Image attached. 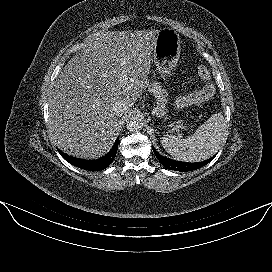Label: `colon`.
<instances>
[{
    "label": "colon",
    "instance_id": "obj_1",
    "mask_svg": "<svg viewBox=\"0 0 272 272\" xmlns=\"http://www.w3.org/2000/svg\"><path fill=\"white\" fill-rule=\"evenodd\" d=\"M198 72L205 82L204 87L199 91L178 97L172 104V109L176 114H181L187 107L202 103L213 96L215 88L211 82L208 69L200 66Z\"/></svg>",
    "mask_w": 272,
    "mask_h": 272
}]
</instances>
